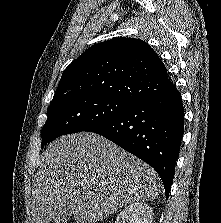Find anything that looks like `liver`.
<instances>
[{
    "instance_id": "6515ba94",
    "label": "liver",
    "mask_w": 221,
    "mask_h": 223,
    "mask_svg": "<svg viewBox=\"0 0 221 223\" xmlns=\"http://www.w3.org/2000/svg\"><path fill=\"white\" fill-rule=\"evenodd\" d=\"M146 163L104 137L80 132L49 144L38 161L31 223H95L118 209L159 196Z\"/></svg>"
}]
</instances>
